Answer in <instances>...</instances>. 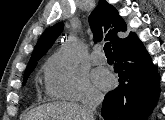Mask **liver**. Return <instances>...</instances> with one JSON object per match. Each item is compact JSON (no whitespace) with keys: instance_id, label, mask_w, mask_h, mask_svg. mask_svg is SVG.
Instances as JSON below:
<instances>
[{"instance_id":"1","label":"liver","mask_w":165,"mask_h":120,"mask_svg":"<svg viewBox=\"0 0 165 120\" xmlns=\"http://www.w3.org/2000/svg\"><path fill=\"white\" fill-rule=\"evenodd\" d=\"M83 106L72 102H56L33 109L25 120H83Z\"/></svg>"}]
</instances>
